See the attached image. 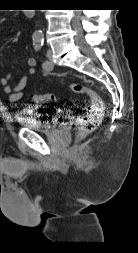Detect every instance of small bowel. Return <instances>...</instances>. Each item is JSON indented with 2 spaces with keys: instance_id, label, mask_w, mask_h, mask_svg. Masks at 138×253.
Masks as SVG:
<instances>
[{
  "instance_id": "c3829d8e",
  "label": "small bowel",
  "mask_w": 138,
  "mask_h": 253,
  "mask_svg": "<svg viewBox=\"0 0 138 253\" xmlns=\"http://www.w3.org/2000/svg\"><path fill=\"white\" fill-rule=\"evenodd\" d=\"M27 66H28V73L30 75H34L36 72L35 66H36V60L34 58H28L27 59ZM12 73H8L7 75L3 76L0 79V83L3 86L4 92L8 95L10 102H16L23 98L24 96V90L27 85L28 76H22L19 79H17L16 84L14 87L10 86L9 83L12 79Z\"/></svg>"
}]
</instances>
